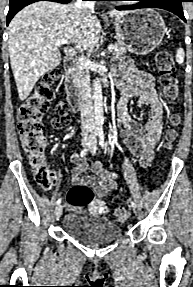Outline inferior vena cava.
<instances>
[{
	"instance_id": "inferior-vena-cava-1",
	"label": "inferior vena cava",
	"mask_w": 193,
	"mask_h": 287,
	"mask_svg": "<svg viewBox=\"0 0 193 287\" xmlns=\"http://www.w3.org/2000/svg\"><path fill=\"white\" fill-rule=\"evenodd\" d=\"M74 7L89 13V10L94 9V1L77 0ZM89 60L81 53L76 65V78L80 93L81 106V129L83 139H92L95 137V124L93 103L90 86Z\"/></svg>"
}]
</instances>
